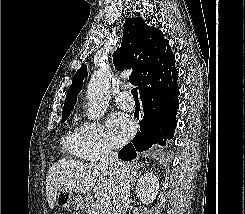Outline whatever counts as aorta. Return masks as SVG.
Returning a JSON list of instances; mask_svg holds the SVG:
<instances>
[{
    "instance_id": "762f6f07",
    "label": "aorta",
    "mask_w": 245,
    "mask_h": 214,
    "mask_svg": "<svg viewBox=\"0 0 245 214\" xmlns=\"http://www.w3.org/2000/svg\"><path fill=\"white\" fill-rule=\"evenodd\" d=\"M111 77V69L102 66L91 77L87 88L88 111L87 118L96 120L101 118L108 107L109 97V81Z\"/></svg>"
}]
</instances>
